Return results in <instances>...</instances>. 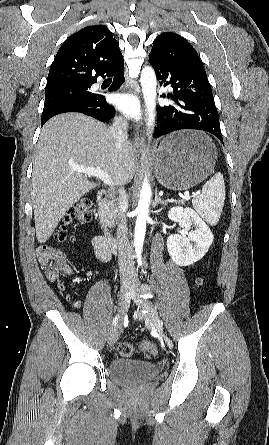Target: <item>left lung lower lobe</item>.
I'll list each match as a JSON object with an SVG mask.
<instances>
[{
  "label": "left lung lower lobe",
  "instance_id": "1",
  "mask_svg": "<svg viewBox=\"0 0 269 445\" xmlns=\"http://www.w3.org/2000/svg\"><path fill=\"white\" fill-rule=\"evenodd\" d=\"M149 62L160 84L166 82L164 86L173 88V93L167 96L176 101L175 105L157 107L158 126L154 137L182 129H196L212 133L223 143L218 113L204 66L170 65L151 58Z\"/></svg>",
  "mask_w": 269,
  "mask_h": 445
}]
</instances>
